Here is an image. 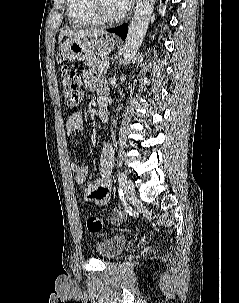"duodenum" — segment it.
<instances>
[{
	"label": "duodenum",
	"instance_id": "410a0bca",
	"mask_svg": "<svg viewBox=\"0 0 239 303\" xmlns=\"http://www.w3.org/2000/svg\"><path fill=\"white\" fill-rule=\"evenodd\" d=\"M98 116L103 123L109 121V110L106 106L101 105L98 109Z\"/></svg>",
	"mask_w": 239,
	"mask_h": 303
}]
</instances>
